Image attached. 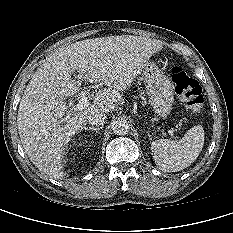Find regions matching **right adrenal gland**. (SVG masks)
<instances>
[{
    "mask_svg": "<svg viewBox=\"0 0 233 233\" xmlns=\"http://www.w3.org/2000/svg\"><path fill=\"white\" fill-rule=\"evenodd\" d=\"M100 129H102V126H97V127H85V130H92L94 131L95 133H97Z\"/></svg>",
    "mask_w": 233,
    "mask_h": 233,
    "instance_id": "1",
    "label": "right adrenal gland"
}]
</instances>
